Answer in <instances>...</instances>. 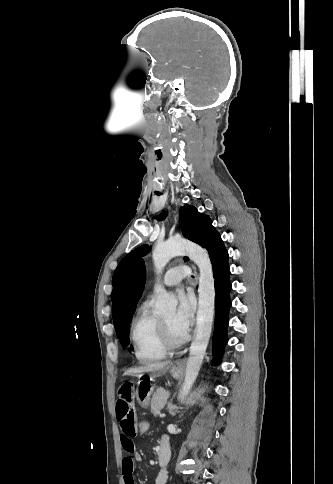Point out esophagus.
Listing matches in <instances>:
<instances>
[{"label": "esophagus", "mask_w": 333, "mask_h": 484, "mask_svg": "<svg viewBox=\"0 0 333 484\" xmlns=\"http://www.w3.org/2000/svg\"><path fill=\"white\" fill-rule=\"evenodd\" d=\"M184 364V361L183 360H178L176 362V366H182Z\"/></svg>", "instance_id": "1"}]
</instances>
